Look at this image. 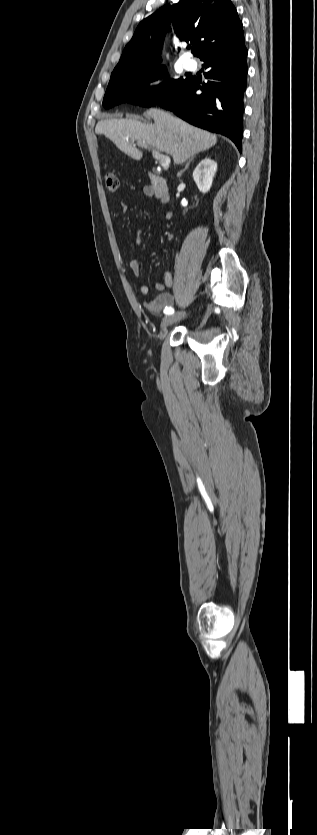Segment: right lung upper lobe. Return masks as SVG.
<instances>
[{"mask_svg":"<svg viewBox=\"0 0 317 835\" xmlns=\"http://www.w3.org/2000/svg\"><path fill=\"white\" fill-rule=\"evenodd\" d=\"M171 21L180 40L196 41L192 51L197 57L220 44L244 37L242 22L231 0H180L173 6H163L138 25L114 70H147L158 66Z\"/></svg>","mask_w":317,"mask_h":835,"instance_id":"1","label":"right lung upper lobe"}]
</instances>
